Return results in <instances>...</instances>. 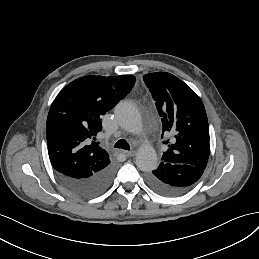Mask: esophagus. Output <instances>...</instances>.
I'll return each mask as SVG.
<instances>
[{
  "instance_id": "obj_1",
  "label": "esophagus",
  "mask_w": 259,
  "mask_h": 259,
  "mask_svg": "<svg viewBox=\"0 0 259 259\" xmlns=\"http://www.w3.org/2000/svg\"><path fill=\"white\" fill-rule=\"evenodd\" d=\"M122 153L127 156V157H133L136 155V151L135 150H131V151H122Z\"/></svg>"
}]
</instances>
